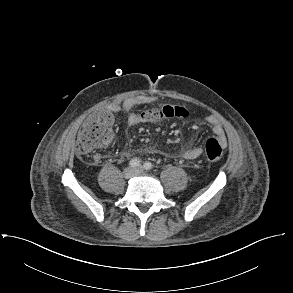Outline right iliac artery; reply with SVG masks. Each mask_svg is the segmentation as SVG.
Returning <instances> with one entry per match:
<instances>
[{"mask_svg": "<svg viewBox=\"0 0 293 293\" xmlns=\"http://www.w3.org/2000/svg\"><path fill=\"white\" fill-rule=\"evenodd\" d=\"M129 165H130L131 167H138V166L141 165V160L138 159V158H134V159H132V160L129 162Z\"/></svg>", "mask_w": 293, "mask_h": 293, "instance_id": "obj_1", "label": "right iliac artery"}]
</instances>
